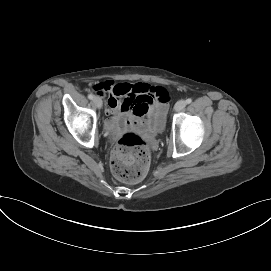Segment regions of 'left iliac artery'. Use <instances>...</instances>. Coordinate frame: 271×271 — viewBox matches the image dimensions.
<instances>
[{"label":"left iliac artery","instance_id":"44dca946","mask_svg":"<svg viewBox=\"0 0 271 271\" xmlns=\"http://www.w3.org/2000/svg\"><path fill=\"white\" fill-rule=\"evenodd\" d=\"M192 102V99L191 98H188L187 100H186V103L187 104H190Z\"/></svg>","mask_w":271,"mask_h":271}]
</instances>
